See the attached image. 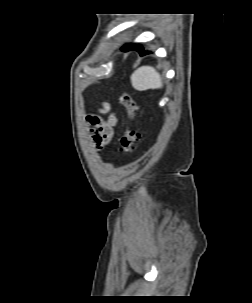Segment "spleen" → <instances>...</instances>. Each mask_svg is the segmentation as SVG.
<instances>
[{
    "label": "spleen",
    "mask_w": 252,
    "mask_h": 303,
    "mask_svg": "<svg viewBox=\"0 0 252 303\" xmlns=\"http://www.w3.org/2000/svg\"><path fill=\"white\" fill-rule=\"evenodd\" d=\"M130 79L132 86L138 91L159 89L163 86L160 74L151 66L139 67L132 73Z\"/></svg>",
    "instance_id": "spleen-1"
}]
</instances>
